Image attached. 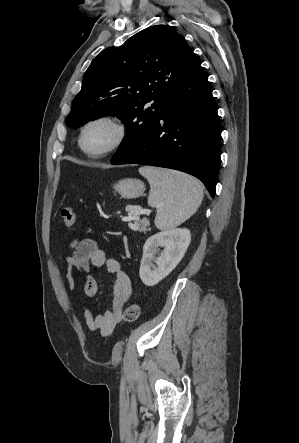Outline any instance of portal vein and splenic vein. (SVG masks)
I'll return each mask as SVG.
<instances>
[{
    "instance_id": "18ae733b",
    "label": "portal vein and splenic vein",
    "mask_w": 299,
    "mask_h": 443,
    "mask_svg": "<svg viewBox=\"0 0 299 443\" xmlns=\"http://www.w3.org/2000/svg\"><path fill=\"white\" fill-rule=\"evenodd\" d=\"M128 207H129V206H128ZM128 207H127V208H128ZM147 213H150V212H147ZM133 214H136V212H134Z\"/></svg>"
}]
</instances>
